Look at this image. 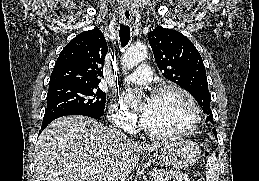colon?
<instances>
[{
  "instance_id": "colon-1",
  "label": "colon",
  "mask_w": 259,
  "mask_h": 181,
  "mask_svg": "<svg viewBox=\"0 0 259 181\" xmlns=\"http://www.w3.org/2000/svg\"><path fill=\"white\" fill-rule=\"evenodd\" d=\"M194 181H203V180H202V177H201V176L196 175V176L194 177Z\"/></svg>"
}]
</instances>
